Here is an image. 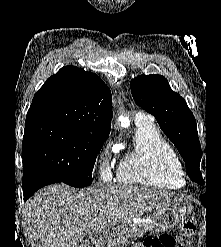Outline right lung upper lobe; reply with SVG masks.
Listing matches in <instances>:
<instances>
[{
    "instance_id": "cb5924a9",
    "label": "right lung upper lobe",
    "mask_w": 221,
    "mask_h": 247,
    "mask_svg": "<svg viewBox=\"0 0 221 247\" xmlns=\"http://www.w3.org/2000/svg\"><path fill=\"white\" fill-rule=\"evenodd\" d=\"M112 115L111 92L102 79L65 66L35 94L25 129L63 126L108 137Z\"/></svg>"
}]
</instances>
